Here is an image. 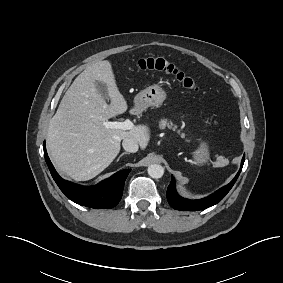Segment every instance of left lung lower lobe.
I'll use <instances>...</instances> for the list:
<instances>
[{"label": "left lung lower lobe", "instance_id": "0a47b994", "mask_svg": "<svg viewBox=\"0 0 283 283\" xmlns=\"http://www.w3.org/2000/svg\"><path fill=\"white\" fill-rule=\"evenodd\" d=\"M244 159H245V155L242 158L240 170L236 174L235 178L228 185L222 187L212 195L205 197L203 199L190 200L181 197L176 191L175 179L172 177L171 183L167 188V200L169 204L176 210H192V211L202 210L217 204L226 196V194L233 187L234 183L236 182L242 170Z\"/></svg>", "mask_w": 283, "mask_h": 283}]
</instances>
